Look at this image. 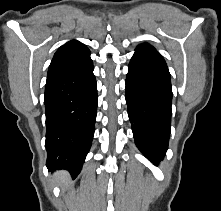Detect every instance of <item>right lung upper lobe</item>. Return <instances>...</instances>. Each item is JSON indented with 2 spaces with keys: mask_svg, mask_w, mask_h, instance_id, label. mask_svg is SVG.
<instances>
[{
  "mask_svg": "<svg viewBox=\"0 0 221 211\" xmlns=\"http://www.w3.org/2000/svg\"><path fill=\"white\" fill-rule=\"evenodd\" d=\"M90 50L83 43L72 40L61 46L51 61L47 80L54 79L90 65Z\"/></svg>",
  "mask_w": 221,
  "mask_h": 211,
  "instance_id": "1",
  "label": "right lung upper lobe"
}]
</instances>
